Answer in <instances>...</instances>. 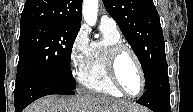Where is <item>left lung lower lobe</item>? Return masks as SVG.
Instances as JSON below:
<instances>
[{
  "label": "left lung lower lobe",
  "instance_id": "1",
  "mask_svg": "<svg viewBox=\"0 0 193 112\" xmlns=\"http://www.w3.org/2000/svg\"><path fill=\"white\" fill-rule=\"evenodd\" d=\"M167 63L155 74L137 103L150 108L153 112H170V89Z\"/></svg>",
  "mask_w": 193,
  "mask_h": 112
}]
</instances>
